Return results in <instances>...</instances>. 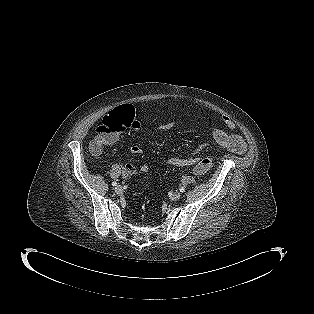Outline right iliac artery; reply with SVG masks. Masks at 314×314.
<instances>
[{"label":"right iliac artery","mask_w":314,"mask_h":314,"mask_svg":"<svg viewBox=\"0 0 314 314\" xmlns=\"http://www.w3.org/2000/svg\"><path fill=\"white\" fill-rule=\"evenodd\" d=\"M112 185H113V186H116V185H117V182H115V181L112 182Z\"/></svg>","instance_id":"right-iliac-artery-1"}]
</instances>
